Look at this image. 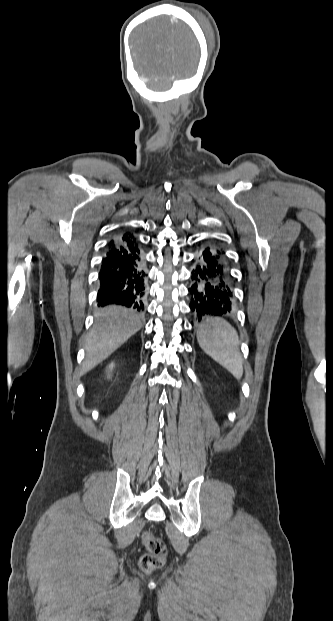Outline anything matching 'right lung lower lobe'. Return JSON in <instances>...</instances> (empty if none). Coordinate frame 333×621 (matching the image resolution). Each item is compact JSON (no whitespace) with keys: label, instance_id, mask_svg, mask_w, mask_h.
Instances as JSON below:
<instances>
[{"label":"right lung lower lobe","instance_id":"1","mask_svg":"<svg viewBox=\"0 0 333 621\" xmlns=\"http://www.w3.org/2000/svg\"><path fill=\"white\" fill-rule=\"evenodd\" d=\"M138 244L119 238L107 247L99 272L98 306L117 304L144 310L147 274Z\"/></svg>","mask_w":333,"mask_h":621}]
</instances>
